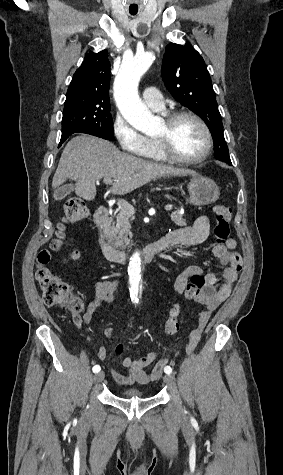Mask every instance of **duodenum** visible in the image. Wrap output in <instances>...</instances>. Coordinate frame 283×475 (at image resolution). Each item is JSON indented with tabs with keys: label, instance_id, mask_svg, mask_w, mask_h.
I'll use <instances>...</instances> for the list:
<instances>
[{
	"label": "duodenum",
	"instance_id": "duodenum-1",
	"mask_svg": "<svg viewBox=\"0 0 283 475\" xmlns=\"http://www.w3.org/2000/svg\"><path fill=\"white\" fill-rule=\"evenodd\" d=\"M94 223L97 231L98 243L107 260L116 263H124L128 260V254L115 248L108 239V229L110 226V211L105 207L96 210ZM170 246L167 236L150 243L141 251V258L144 262L151 261L158 253Z\"/></svg>",
	"mask_w": 283,
	"mask_h": 475
}]
</instances>
